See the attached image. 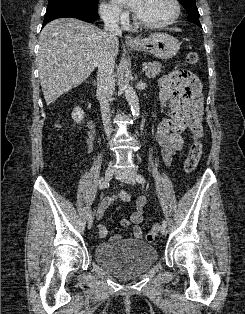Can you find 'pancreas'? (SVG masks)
Returning a JSON list of instances; mask_svg holds the SVG:
<instances>
[{
  "label": "pancreas",
  "instance_id": "1",
  "mask_svg": "<svg viewBox=\"0 0 245 314\" xmlns=\"http://www.w3.org/2000/svg\"><path fill=\"white\" fill-rule=\"evenodd\" d=\"M147 71H146V76L148 78H155L161 71L162 64L160 62H149L146 64Z\"/></svg>",
  "mask_w": 245,
  "mask_h": 314
}]
</instances>
